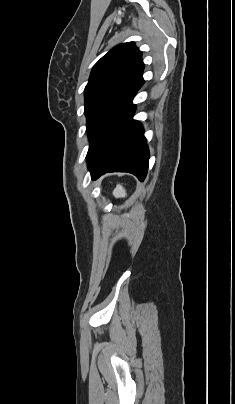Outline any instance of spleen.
Here are the masks:
<instances>
[{"label": "spleen", "instance_id": "obj_1", "mask_svg": "<svg viewBox=\"0 0 235 404\" xmlns=\"http://www.w3.org/2000/svg\"><path fill=\"white\" fill-rule=\"evenodd\" d=\"M126 195L127 194H126L124 187L122 185L118 184L113 191V196L115 198H123V197H126Z\"/></svg>", "mask_w": 235, "mask_h": 404}]
</instances>
